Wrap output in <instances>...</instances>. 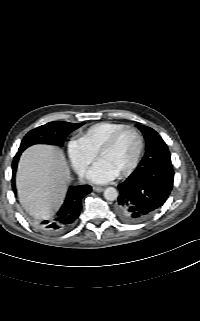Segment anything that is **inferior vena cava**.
Instances as JSON below:
<instances>
[{
  "label": "inferior vena cava",
  "mask_w": 200,
  "mask_h": 321,
  "mask_svg": "<svg viewBox=\"0 0 200 321\" xmlns=\"http://www.w3.org/2000/svg\"><path fill=\"white\" fill-rule=\"evenodd\" d=\"M84 173H85V170H80V171H79V176H80V178H83Z\"/></svg>",
  "instance_id": "1"
}]
</instances>
